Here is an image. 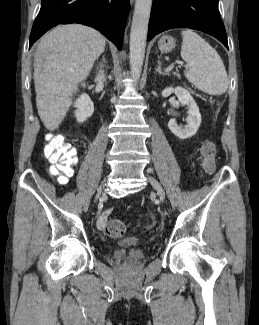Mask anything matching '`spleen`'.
I'll return each mask as SVG.
<instances>
[{"mask_svg":"<svg viewBox=\"0 0 259 325\" xmlns=\"http://www.w3.org/2000/svg\"><path fill=\"white\" fill-rule=\"evenodd\" d=\"M181 57L187 63L185 77L199 90L210 95L227 91L228 77L217 51L201 36L188 29L181 33Z\"/></svg>","mask_w":259,"mask_h":325,"instance_id":"obj_1","label":"spleen"}]
</instances>
